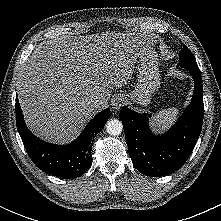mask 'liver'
Instances as JSON below:
<instances>
[{
    "mask_svg": "<svg viewBox=\"0 0 221 221\" xmlns=\"http://www.w3.org/2000/svg\"><path fill=\"white\" fill-rule=\"evenodd\" d=\"M153 41L131 32L67 36L37 46L24 63L18 98L28 127L40 138L66 143L96 110L108 105L112 88L130 79L137 58L155 51ZM100 99L98 108L91 100Z\"/></svg>",
    "mask_w": 221,
    "mask_h": 221,
    "instance_id": "obj_1",
    "label": "liver"
}]
</instances>
